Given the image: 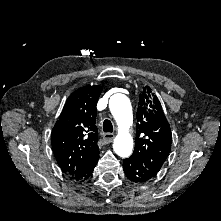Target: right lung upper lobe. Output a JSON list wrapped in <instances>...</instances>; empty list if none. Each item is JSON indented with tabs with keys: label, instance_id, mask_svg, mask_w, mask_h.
Masks as SVG:
<instances>
[{
	"label": "right lung upper lobe",
	"instance_id": "right-lung-upper-lobe-1",
	"mask_svg": "<svg viewBox=\"0 0 221 221\" xmlns=\"http://www.w3.org/2000/svg\"><path fill=\"white\" fill-rule=\"evenodd\" d=\"M101 86H84L67 99L51 133L55 158L68 177L81 173L99 155L95 125Z\"/></svg>",
	"mask_w": 221,
	"mask_h": 221
}]
</instances>
